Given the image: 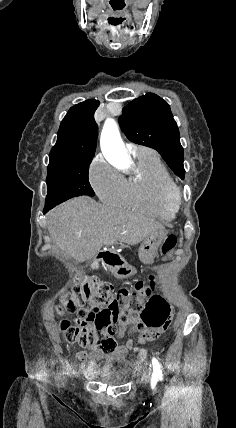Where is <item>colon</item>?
<instances>
[{"mask_svg": "<svg viewBox=\"0 0 236 428\" xmlns=\"http://www.w3.org/2000/svg\"><path fill=\"white\" fill-rule=\"evenodd\" d=\"M176 244V236L169 235L161 252L169 254ZM154 286L153 277L147 282H137L133 288L123 287L118 291H114L110 283L96 279L76 284L62 297L60 311L77 312L74 322L65 320L61 323L63 336L68 343H76L91 351L112 353L117 346V324L138 332L166 330L172 317L169 304L163 298L153 296L143 307L145 297Z\"/></svg>", "mask_w": 236, "mask_h": 428, "instance_id": "colon-1", "label": "colon"}]
</instances>
